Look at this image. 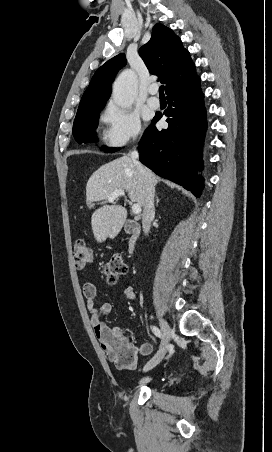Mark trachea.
I'll list each match as a JSON object with an SVG mask.
<instances>
[{
    "label": "trachea",
    "mask_w": 272,
    "mask_h": 452,
    "mask_svg": "<svg viewBox=\"0 0 272 452\" xmlns=\"http://www.w3.org/2000/svg\"><path fill=\"white\" fill-rule=\"evenodd\" d=\"M159 95H160V97H165L163 85L159 87Z\"/></svg>",
    "instance_id": "obj_1"
}]
</instances>
